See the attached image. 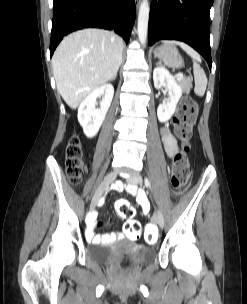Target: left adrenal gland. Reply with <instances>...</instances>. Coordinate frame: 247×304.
Masks as SVG:
<instances>
[{
	"label": "left adrenal gland",
	"instance_id": "1",
	"mask_svg": "<svg viewBox=\"0 0 247 304\" xmlns=\"http://www.w3.org/2000/svg\"><path fill=\"white\" fill-rule=\"evenodd\" d=\"M157 64H159V65H160V64H161V62H158Z\"/></svg>",
	"mask_w": 247,
	"mask_h": 304
}]
</instances>
